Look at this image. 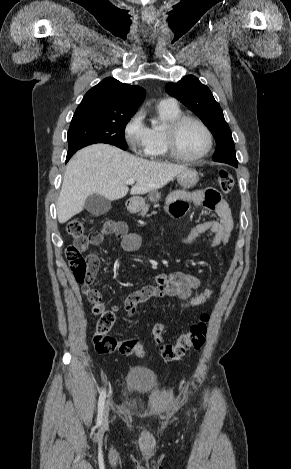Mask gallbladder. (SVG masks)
Returning <instances> with one entry per match:
<instances>
[{
	"label": "gallbladder",
	"instance_id": "1",
	"mask_svg": "<svg viewBox=\"0 0 291 469\" xmlns=\"http://www.w3.org/2000/svg\"><path fill=\"white\" fill-rule=\"evenodd\" d=\"M84 208L89 213L100 216L111 209V201L100 194L94 193L87 197Z\"/></svg>",
	"mask_w": 291,
	"mask_h": 469
}]
</instances>
